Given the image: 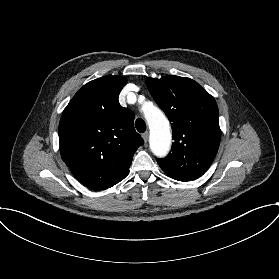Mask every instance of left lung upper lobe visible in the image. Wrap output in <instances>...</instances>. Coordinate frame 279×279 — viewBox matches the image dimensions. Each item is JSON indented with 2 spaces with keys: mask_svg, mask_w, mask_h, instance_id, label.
<instances>
[{
  "mask_svg": "<svg viewBox=\"0 0 279 279\" xmlns=\"http://www.w3.org/2000/svg\"><path fill=\"white\" fill-rule=\"evenodd\" d=\"M146 85L172 122V153L157 159L161 169L180 181L194 180L212 164L221 139L214 98L197 82L180 76L148 78Z\"/></svg>",
  "mask_w": 279,
  "mask_h": 279,
  "instance_id": "obj_1",
  "label": "left lung upper lobe"
}]
</instances>
